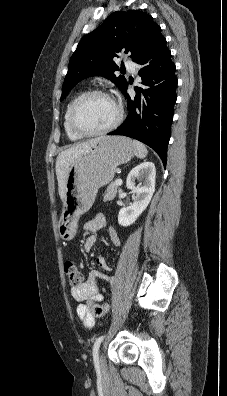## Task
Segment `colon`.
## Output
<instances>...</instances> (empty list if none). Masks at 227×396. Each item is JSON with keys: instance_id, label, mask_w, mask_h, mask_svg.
<instances>
[{"instance_id": "obj_1", "label": "colon", "mask_w": 227, "mask_h": 396, "mask_svg": "<svg viewBox=\"0 0 227 396\" xmlns=\"http://www.w3.org/2000/svg\"><path fill=\"white\" fill-rule=\"evenodd\" d=\"M65 273L72 286H78L82 283V274L73 262L67 261L65 263ZM89 307L92 310L94 316L96 317H101L105 315L110 309L108 304L90 303Z\"/></svg>"}]
</instances>
